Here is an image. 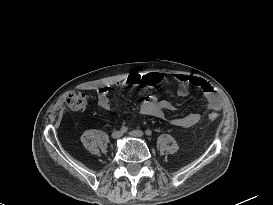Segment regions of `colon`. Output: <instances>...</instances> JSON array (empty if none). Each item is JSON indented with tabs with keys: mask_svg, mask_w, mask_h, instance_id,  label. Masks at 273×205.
I'll return each instance as SVG.
<instances>
[{
	"mask_svg": "<svg viewBox=\"0 0 273 205\" xmlns=\"http://www.w3.org/2000/svg\"><path fill=\"white\" fill-rule=\"evenodd\" d=\"M65 104L68 109L73 111L83 110L88 103V96L83 91H71L65 97ZM216 113H210L209 119L215 121L217 119Z\"/></svg>",
	"mask_w": 273,
	"mask_h": 205,
	"instance_id": "obj_1",
	"label": "colon"
}]
</instances>
